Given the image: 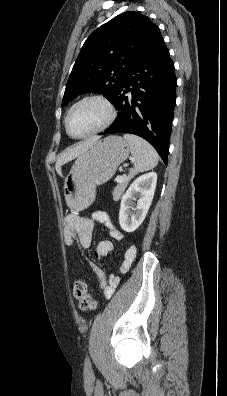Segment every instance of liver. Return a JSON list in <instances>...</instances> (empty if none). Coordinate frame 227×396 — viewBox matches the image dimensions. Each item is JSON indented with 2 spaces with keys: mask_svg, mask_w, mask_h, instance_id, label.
I'll return each mask as SVG.
<instances>
[{
  "mask_svg": "<svg viewBox=\"0 0 227 396\" xmlns=\"http://www.w3.org/2000/svg\"><path fill=\"white\" fill-rule=\"evenodd\" d=\"M98 138H93L87 140L78 146L68 150L67 152L63 153L61 157L56 162V171L59 175H61V166L74 158L78 157L82 152L86 151L94 142H96Z\"/></svg>",
  "mask_w": 227,
  "mask_h": 396,
  "instance_id": "6515ba94",
  "label": "liver"
}]
</instances>
